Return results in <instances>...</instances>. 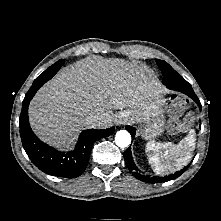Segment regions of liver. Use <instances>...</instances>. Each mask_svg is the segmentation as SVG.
Here are the masks:
<instances>
[{"label": "liver", "mask_w": 221, "mask_h": 221, "mask_svg": "<svg viewBox=\"0 0 221 221\" xmlns=\"http://www.w3.org/2000/svg\"><path fill=\"white\" fill-rule=\"evenodd\" d=\"M164 89L149 72L121 59L90 57L66 66L35 95L29 107L34 132L48 144L68 149L91 124L109 128L113 110L140 109L162 98Z\"/></svg>", "instance_id": "6515ba94"}]
</instances>
